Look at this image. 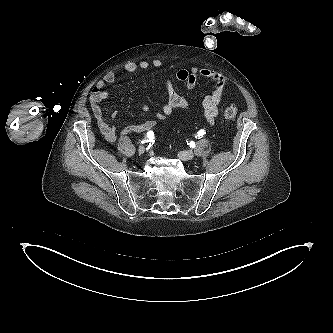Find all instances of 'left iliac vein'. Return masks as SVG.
I'll use <instances>...</instances> for the list:
<instances>
[{
  "label": "left iliac vein",
  "mask_w": 333,
  "mask_h": 333,
  "mask_svg": "<svg viewBox=\"0 0 333 333\" xmlns=\"http://www.w3.org/2000/svg\"><path fill=\"white\" fill-rule=\"evenodd\" d=\"M178 157L183 161L191 160L194 157V152L190 151V150L189 151H181V152H179Z\"/></svg>",
  "instance_id": "1"
}]
</instances>
